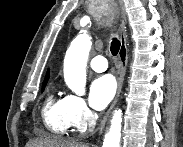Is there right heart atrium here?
I'll list each match as a JSON object with an SVG mask.
<instances>
[{"label":"right heart atrium","mask_w":183,"mask_h":147,"mask_svg":"<svg viewBox=\"0 0 183 147\" xmlns=\"http://www.w3.org/2000/svg\"><path fill=\"white\" fill-rule=\"evenodd\" d=\"M68 117L72 126L79 130H85L93 122L94 115L81 97L69 95Z\"/></svg>","instance_id":"d8ad5b80"}]
</instances>
